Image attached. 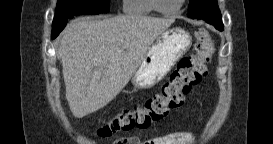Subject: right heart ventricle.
<instances>
[{"label":"right heart ventricle","mask_w":273,"mask_h":144,"mask_svg":"<svg viewBox=\"0 0 273 144\" xmlns=\"http://www.w3.org/2000/svg\"><path fill=\"white\" fill-rule=\"evenodd\" d=\"M151 0H127L124 3V12L132 16H148L153 12Z\"/></svg>","instance_id":"right-heart-ventricle-1"}]
</instances>
